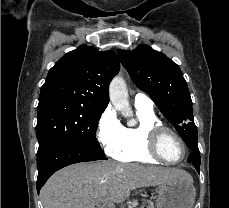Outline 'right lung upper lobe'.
I'll return each mask as SVG.
<instances>
[{
	"mask_svg": "<svg viewBox=\"0 0 229 208\" xmlns=\"http://www.w3.org/2000/svg\"><path fill=\"white\" fill-rule=\"evenodd\" d=\"M119 67L113 51L99 52L82 45L50 69L41 87L39 103L68 100L102 114L109 102V83Z\"/></svg>",
	"mask_w": 229,
	"mask_h": 208,
	"instance_id": "1",
	"label": "right lung upper lobe"
}]
</instances>
